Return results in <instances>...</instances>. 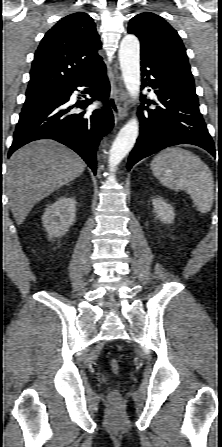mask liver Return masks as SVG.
Listing matches in <instances>:
<instances>
[{"mask_svg":"<svg viewBox=\"0 0 222 447\" xmlns=\"http://www.w3.org/2000/svg\"><path fill=\"white\" fill-rule=\"evenodd\" d=\"M6 192L21 225L36 203L79 177L85 163L64 145L44 139L18 149L7 163Z\"/></svg>","mask_w":222,"mask_h":447,"instance_id":"liver-1","label":"liver"}]
</instances>
